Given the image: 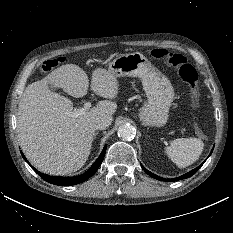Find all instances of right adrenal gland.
Masks as SVG:
<instances>
[{
    "instance_id": "1",
    "label": "right adrenal gland",
    "mask_w": 233,
    "mask_h": 233,
    "mask_svg": "<svg viewBox=\"0 0 233 233\" xmlns=\"http://www.w3.org/2000/svg\"><path fill=\"white\" fill-rule=\"evenodd\" d=\"M97 134H98V132H96V133H95V135H94V139L96 138Z\"/></svg>"
}]
</instances>
